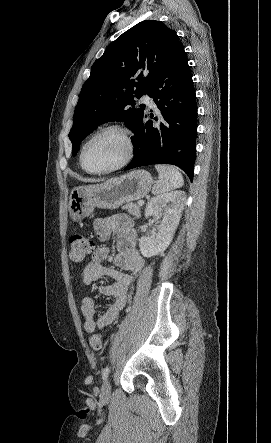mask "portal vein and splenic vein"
Instances as JSON below:
<instances>
[{"label": "portal vein and splenic vein", "instance_id": "18ae733b", "mask_svg": "<svg viewBox=\"0 0 271 443\" xmlns=\"http://www.w3.org/2000/svg\"><path fill=\"white\" fill-rule=\"evenodd\" d=\"M143 204H144L143 200H139L138 206H143Z\"/></svg>", "mask_w": 271, "mask_h": 443}]
</instances>
